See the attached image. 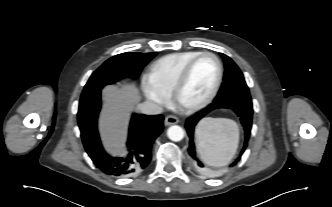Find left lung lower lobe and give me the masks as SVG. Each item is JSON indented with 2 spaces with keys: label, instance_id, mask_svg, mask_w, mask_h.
Instances as JSON below:
<instances>
[{
  "label": "left lung lower lobe",
  "instance_id": "left-lung-lower-lobe-1",
  "mask_svg": "<svg viewBox=\"0 0 332 207\" xmlns=\"http://www.w3.org/2000/svg\"><path fill=\"white\" fill-rule=\"evenodd\" d=\"M217 108L232 109L240 117L241 123L245 131V140L243 148L240 152L239 157L230 165V167L237 164V162L240 160L241 155L244 153L248 145V140L250 138L251 127H252V116H253V107L251 99L233 97L222 100H214L213 103L210 106H208L203 112L188 118L185 124L189 136V147H188L189 159L191 164L194 167H196L199 171H203L202 168L204 167V165L196 155V146L194 142L195 126L202 117H204L207 113Z\"/></svg>",
  "mask_w": 332,
  "mask_h": 207
}]
</instances>
